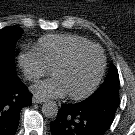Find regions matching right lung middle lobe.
Segmentation results:
<instances>
[{
	"label": "right lung middle lobe",
	"mask_w": 135,
	"mask_h": 135,
	"mask_svg": "<svg viewBox=\"0 0 135 135\" xmlns=\"http://www.w3.org/2000/svg\"><path fill=\"white\" fill-rule=\"evenodd\" d=\"M23 30L8 26L0 30V76L16 74L14 50Z\"/></svg>",
	"instance_id": "dd1d6c3e"
}]
</instances>
